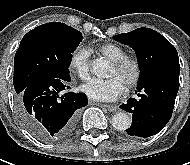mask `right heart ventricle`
<instances>
[{
	"label": "right heart ventricle",
	"mask_w": 190,
	"mask_h": 165,
	"mask_svg": "<svg viewBox=\"0 0 190 165\" xmlns=\"http://www.w3.org/2000/svg\"><path fill=\"white\" fill-rule=\"evenodd\" d=\"M96 51L106 57L107 59L113 61L120 60L127 56L126 51L120 46L112 43H105L99 45Z\"/></svg>",
	"instance_id": "right-heart-ventricle-1"
}]
</instances>
